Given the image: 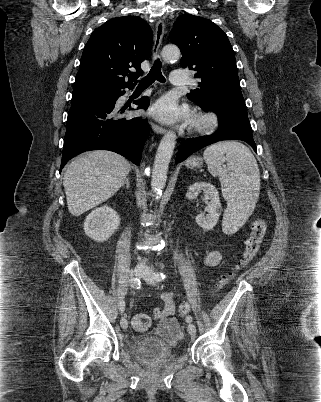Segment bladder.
<instances>
[{
  "label": "bladder",
  "instance_id": "31cf9c89",
  "mask_svg": "<svg viewBox=\"0 0 321 402\" xmlns=\"http://www.w3.org/2000/svg\"><path fill=\"white\" fill-rule=\"evenodd\" d=\"M180 339L174 344H168L156 336L155 332H148L135 340L132 353L144 364L152 367L165 366L176 358V348Z\"/></svg>",
  "mask_w": 321,
  "mask_h": 402
}]
</instances>
